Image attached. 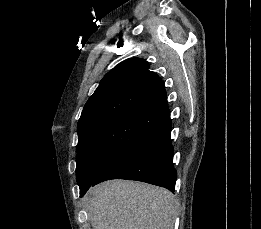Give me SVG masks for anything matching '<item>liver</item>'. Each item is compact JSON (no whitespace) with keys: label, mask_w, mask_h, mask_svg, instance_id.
<instances>
[{"label":"liver","mask_w":261,"mask_h":229,"mask_svg":"<svg viewBox=\"0 0 261 229\" xmlns=\"http://www.w3.org/2000/svg\"><path fill=\"white\" fill-rule=\"evenodd\" d=\"M87 201L93 229H173L178 205L170 191L134 181L101 183Z\"/></svg>","instance_id":"1"}]
</instances>
